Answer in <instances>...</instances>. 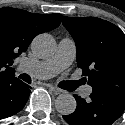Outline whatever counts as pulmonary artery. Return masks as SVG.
I'll use <instances>...</instances> for the list:
<instances>
[{
    "instance_id": "obj_1",
    "label": "pulmonary artery",
    "mask_w": 125,
    "mask_h": 125,
    "mask_svg": "<svg viewBox=\"0 0 125 125\" xmlns=\"http://www.w3.org/2000/svg\"><path fill=\"white\" fill-rule=\"evenodd\" d=\"M76 55V44L72 38H63L59 41L55 54L47 59L31 61L22 59L27 64L33 76L38 79L49 78L71 65ZM92 92L91 86H85L83 93L88 96Z\"/></svg>"
}]
</instances>
